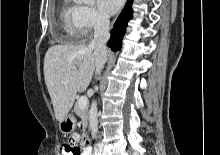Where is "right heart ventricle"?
<instances>
[{
    "instance_id": "e07e8e85",
    "label": "right heart ventricle",
    "mask_w": 220,
    "mask_h": 155,
    "mask_svg": "<svg viewBox=\"0 0 220 155\" xmlns=\"http://www.w3.org/2000/svg\"><path fill=\"white\" fill-rule=\"evenodd\" d=\"M82 6L74 0H63L60 8V19L64 32L72 39L81 37L80 16Z\"/></svg>"
}]
</instances>
